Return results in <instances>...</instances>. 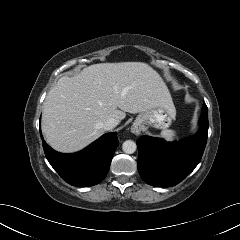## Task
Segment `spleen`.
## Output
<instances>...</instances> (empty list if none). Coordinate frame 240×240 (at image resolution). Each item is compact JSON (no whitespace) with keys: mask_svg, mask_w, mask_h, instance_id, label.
<instances>
[{"mask_svg":"<svg viewBox=\"0 0 240 240\" xmlns=\"http://www.w3.org/2000/svg\"><path fill=\"white\" fill-rule=\"evenodd\" d=\"M161 137L169 142H173L177 138V132L175 130H163L160 133Z\"/></svg>","mask_w":240,"mask_h":240,"instance_id":"obj_1","label":"spleen"}]
</instances>
